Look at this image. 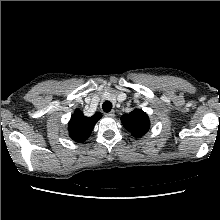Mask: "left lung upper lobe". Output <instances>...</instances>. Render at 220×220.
<instances>
[{
  "label": "left lung upper lobe",
  "mask_w": 220,
  "mask_h": 220,
  "mask_svg": "<svg viewBox=\"0 0 220 220\" xmlns=\"http://www.w3.org/2000/svg\"><path fill=\"white\" fill-rule=\"evenodd\" d=\"M121 123L123 126L131 132V134L140 138L146 134L150 127V121L145 112L140 109H136L129 114L121 117Z\"/></svg>",
  "instance_id": "left-lung-upper-lobe-1"
}]
</instances>
